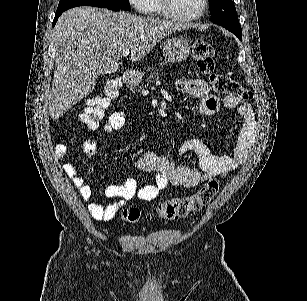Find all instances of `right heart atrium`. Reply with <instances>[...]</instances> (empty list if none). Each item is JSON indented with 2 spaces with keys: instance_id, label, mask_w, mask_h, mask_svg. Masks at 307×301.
Listing matches in <instances>:
<instances>
[{
  "instance_id": "1",
  "label": "right heart atrium",
  "mask_w": 307,
  "mask_h": 301,
  "mask_svg": "<svg viewBox=\"0 0 307 301\" xmlns=\"http://www.w3.org/2000/svg\"><path fill=\"white\" fill-rule=\"evenodd\" d=\"M131 4L136 7V11H151L152 5L149 0H131Z\"/></svg>"
}]
</instances>
